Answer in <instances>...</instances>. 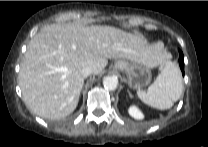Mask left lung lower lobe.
<instances>
[{
  "mask_svg": "<svg viewBox=\"0 0 208 147\" xmlns=\"http://www.w3.org/2000/svg\"><path fill=\"white\" fill-rule=\"evenodd\" d=\"M179 65H180V69L182 71V73L184 74V56L181 50H179Z\"/></svg>",
  "mask_w": 208,
  "mask_h": 147,
  "instance_id": "1",
  "label": "left lung lower lobe"
}]
</instances>
